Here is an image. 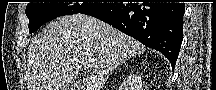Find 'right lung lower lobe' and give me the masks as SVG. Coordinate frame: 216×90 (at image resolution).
<instances>
[{
  "label": "right lung lower lobe",
  "mask_w": 216,
  "mask_h": 90,
  "mask_svg": "<svg viewBox=\"0 0 216 90\" xmlns=\"http://www.w3.org/2000/svg\"><path fill=\"white\" fill-rule=\"evenodd\" d=\"M185 3L128 2L105 3L82 14L94 16L145 46L158 50L172 68L183 40Z\"/></svg>",
  "instance_id": "right-lung-lower-lobe-1"
}]
</instances>
